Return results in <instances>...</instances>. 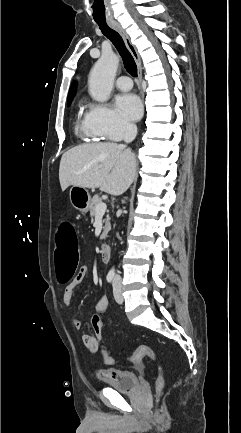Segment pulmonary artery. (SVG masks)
Wrapping results in <instances>:
<instances>
[{"mask_svg":"<svg viewBox=\"0 0 241 433\" xmlns=\"http://www.w3.org/2000/svg\"><path fill=\"white\" fill-rule=\"evenodd\" d=\"M116 86L120 90L127 91L132 88V81L127 75H122L116 80Z\"/></svg>","mask_w":241,"mask_h":433,"instance_id":"1","label":"pulmonary artery"}]
</instances>
